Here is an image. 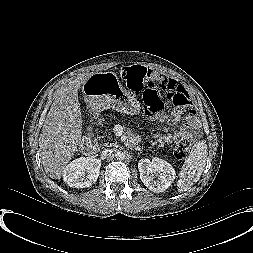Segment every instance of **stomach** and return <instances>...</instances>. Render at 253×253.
Wrapping results in <instances>:
<instances>
[{
	"label": "stomach",
	"mask_w": 253,
	"mask_h": 253,
	"mask_svg": "<svg viewBox=\"0 0 253 253\" xmlns=\"http://www.w3.org/2000/svg\"><path fill=\"white\" fill-rule=\"evenodd\" d=\"M82 91L85 101L94 109L112 107L130 115L140 111V105L134 95L123 90L115 74H92L83 84Z\"/></svg>",
	"instance_id": "stomach-1"
}]
</instances>
